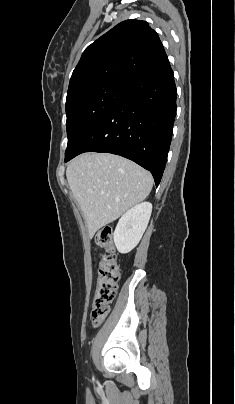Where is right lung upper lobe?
<instances>
[{"instance_id":"right-lung-upper-lobe-1","label":"right lung upper lobe","mask_w":235,"mask_h":404,"mask_svg":"<svg viewBox=\"0 0 235 404\" xmlns=\"http://www.w3.org/2000/svg\"><path fill=\"white\" fill-rule=\"evenodd\" d=\"M166 59L158 34L147 22L123 21L85 49L72 73L66 101L92 86L126 83Z\"/></svg>"}]
</instances>
